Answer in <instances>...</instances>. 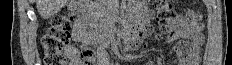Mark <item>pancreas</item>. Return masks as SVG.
I'll list each match as a JSON object with an SVG mask.
<instances>
[{
  "instance_id": "pancreas-1",
  "label": "pancreas",
  "mask_w": 232,
  "mask_h": 65,
  "mask_svg": "<svg viewBox=\"0 0 232 65\" xmlns=\"http://www.w3.org/2000/svg\"><path fill=\"white\" fill-rule=\"evenodd\" d=\"M103 15H105L106 16V14H103ZM95 26H97V27H100L101 28V25L100 24H98V23H96L95 22V24H94ZM103 28H105V29H107V26H104Z\"/></svg>"
}]
</instances>
